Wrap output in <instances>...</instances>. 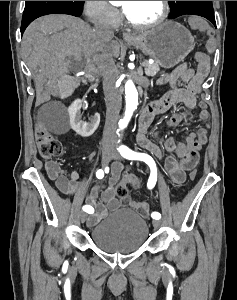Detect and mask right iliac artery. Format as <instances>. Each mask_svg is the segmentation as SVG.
<instances>
[{
    "label": "right iliac artery",
    "mask_w": 237,
    "mask_h": 300,
    "mask_svg": "<svg viewBox=\"0 0 237 300\" xmlns=\"http://www.w3.org/2000/svg\"><path fill=\"white\" fill-rule=\"evenodd\" d=\"M96 177L98 179H102L104 177V171L102 169H99L97 172H96ZM83 211L91 214L94 212V208L90 205H85L83 206Z\"/></svg>",
    "instance_id": "right-iliac-artery-1"
}]
</instances>
